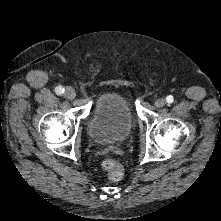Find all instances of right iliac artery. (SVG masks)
I'll list each match as a JSON object with an SVG mask.
<instances>
[{
  "instance_id": "1",
  "label": "right iliac artery",
  "mask_w": 221,
  "mask_h": 221,
  "mask_svg": "<svg viewBox=\"0 0 221 221\" xmlns=\"http://www.w3.org/2000/svg\"><path fill=\"white\" fill-rule=\"evenodd\" d=\"M55 92L57 95H61L64 92V88H62L61 86H58L55 88Z\"/></svg>"
}]
</instances>
